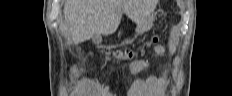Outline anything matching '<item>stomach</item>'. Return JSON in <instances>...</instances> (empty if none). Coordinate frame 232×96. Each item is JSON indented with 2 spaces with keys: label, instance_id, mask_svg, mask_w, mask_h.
I'll use <instances>...</instances> for the list:
<instances>
[{
  "label": "stomach",
  "instance_id": "0dacf381",
  "mask_svg": "<svg viewBox=\"0 0 232 96\" xmlns=\"http://www.w3.org/2000/svg\"><path fill=\"white\" fill-rule=\"evenodd\" d=\"M153 21H154V16L149 15L147 18H145L143 24L137 26V31L140 33L148 31L152 27Z\"/></svg>",
  "mask_w": 232,
  "mask_h": 96
}]
</instances>
